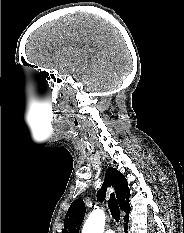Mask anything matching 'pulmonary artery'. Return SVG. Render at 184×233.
I'll return each instance as SVG.
<instances>
[{"label": "pulmonary artery", "mask_w": 184, "mask_h": 233, "mask_svg": "<svg viewBox=\"0 0 184 233\" xmlns=\"http://www.w3.org/2000/svg\"><path fill=\"white\" fill-rule=\"evenodd\" d=\"M105 233H115V232L112 229H108V230L105 231Z\"/></svg>", "instance_id": "obj_1"}]
</instances>
